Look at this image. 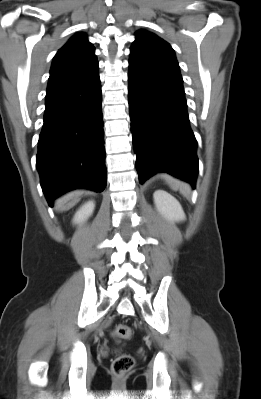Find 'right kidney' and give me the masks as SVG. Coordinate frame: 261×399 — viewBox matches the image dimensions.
<instances>
[{
    "label": "right kidney",
    "instance_id": "ca27d5eb",
    "mask_svg": "<svg viewBox=\"0 0 261 399\" xmlns=\"http://www.w3.org/2000/svg\"><path fill=\"white\" fill-rule=\"evenodd\" d=\"M95 208L94 201H88L85 203L75 214L73 222L75 224H80L86 221L93 213Z\"/></svg>",
    "mask_w": 261,
    "mask_h": 399
}]
</instances>
